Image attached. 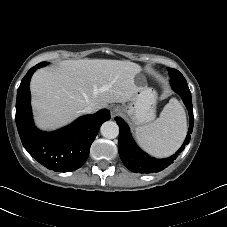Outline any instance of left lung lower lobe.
I'll return each mask as SVG.
<instances>
[{
    "label": "left lung lower lobe",
    "instance_id": "obj_1",
    "mask_svg": "<svg viewBox=\"0 0 227 227\" xmlns=\"http://www.w3.org/2000/svg\"><path fill=\"white\" fill-rule=\"evenodd\" d=\"M170 82L172 89L181 96L189 112L190 126L184 144L174 155L169 158H151L148 154L144 153L140 148L136 146L131 137L127 124L121 118L116 117L115 120L119 126V155L124 165L132 172L154 173L164 170L173 162L174 159H176L178 154L182 152L185 145L190 141V134L192 133L194 123L191 92L185 78H171Z\"/></svg>",
    "mask_w": 227,
    "mask_h": 227
}]
</instances>
